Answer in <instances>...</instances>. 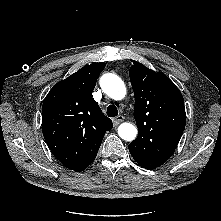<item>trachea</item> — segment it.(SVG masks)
Wrapping results in <instances>:
<instances>
[{
	"instance_id": "1",
	"label": "trachea",
	"mask_w": 221,
	"mask_h": 221,
	"mask_svg": "<svg viewBox=\"0 0 221 221\" xmlns=\"http://www.w3.org/2000/svg\"><path fill=\"white\" fill-rule=\"evenodd\" d=\"M107 115L108 117H116L118 115V109L115 105H109L107 107Z\"/></svg>"
}]
</instances>
